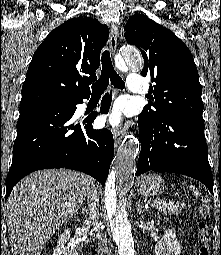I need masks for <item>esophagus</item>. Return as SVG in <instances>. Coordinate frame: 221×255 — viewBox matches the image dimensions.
I'll return each mask as SVG.
<instances>
[{
  "mask_svg": "<svg viewBox=\"0 0 221 255\" xmlns=\"http://www.w3.org/2000/svg\"><path fill=\"white\" fill-rule=\"evenodd\" d=\"M117 39H118V27L116 24L112 25L111 31H110V42H109V48L112 54L115 53L116 46H117ZM124 136V132L121 128H115L113 130V138L115 147H118L121 143V140Z\"/></svg>",
  "mask_w": 221,
  "mask_h": 255,
  "instance_id": "1",
  "label": "esophagus"
}]
</instances>
